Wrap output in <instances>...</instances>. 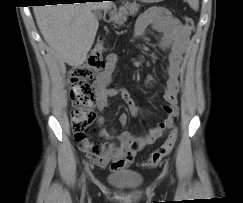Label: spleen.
<instances>
[{
  "instance_id": "3e777b00",
  "label": "spleen",
  "mask_w": 243,
  "mask_h": 203,
  "mask_svg": "<svg viewBox=\"0 0 243 203\" xmlns=\"http://www.w3.org/2000/svg\"><path fill=\"white\" fill-rule=\"evenodd\" d=\"M190 7L197 11L199 9V1L198 0H186Z\"/></svg>"
}]
</instances>
